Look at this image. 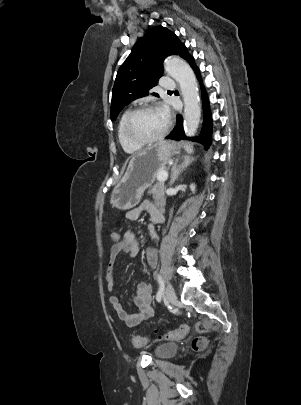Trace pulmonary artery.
<instances>
[{
	"label": "pulmonary artery",
	"mask_w": 301,
	"mask_h": 405,
	"mask_svg": "<svg viewBox=\"0 0 301 405\" xmlns=\"http://www.w3.org/2000/svg\"><path fill=\"white\" fill-rule=\"evenodd\" d=\"M162 87L167 90H173L175 88L174 81L169 77H164L161 83Z\"/></svg>",
	"instance_id": "obj_1"
}]
</instances>
